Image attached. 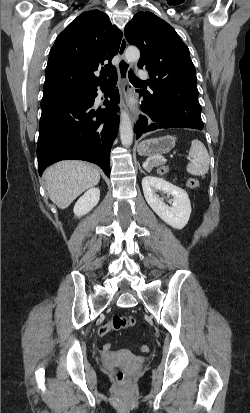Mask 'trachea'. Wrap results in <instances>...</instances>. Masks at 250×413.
<instances>
[{
    "label": "trachea",
    "instance_id": "3493384b",
    "mask_svg": "<svg viewBox=\"0 0 250 413\" xmlns=\"http://www.w3.org/2000/svg\"><path fill=\"white\" fill-rule=\"evenodd\" d=\"M129 80L132 83H144V81L140 80L135 74L132 69L129 70L128 72ZM111 83H117V73L114 71L112 76H111Z\"/></svg>",
    "mask_w": 250,
    "mask_h": 413
}]
</instances>
